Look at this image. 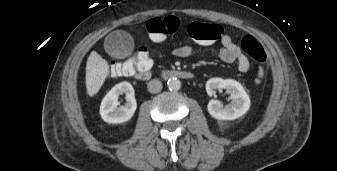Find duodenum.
Here are the masks:
<instances>
[{
  "label": "duodenum",
  "mask_w": 337,
  "mask_h": 171,
  "mask_svg": "<svg viewBox=\"0 0 337 171\" xmlns=\"http://www.w3.org/2000/svg\"><path fill=\"white\" fill-rule=\"evenodd\" d=\"M158 76L166 81L169 79L177 78V79H192L194 78V74L192 72L178 70V69H164L158 72ZM135 77L138 80L146 81L152 77V71L149 68L140 69L136 72Z\"/></svg>",
  "instance_id": "410a0bca"
}]
</instances>
